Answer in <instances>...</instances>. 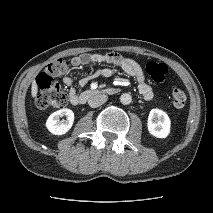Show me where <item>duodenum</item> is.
I'll return each mask as SVG.
<instances>
[{"label":"duodenum","mask_w":213,"mask_h":213,"mask_svg":"<svg viewBox=\"0 0 213 213\" xmlns=\"http://www.w3.org/2000/svg\"><path fill=\"white\" fill-rule=\"evenodd\" d=\"M119 91L118 88H108L105 90H86L84 92H82L79 97H78V103H84L86 102L88 99L101 95V94H115Z\"/></svg>","instance_id":"410a0bca"}]
</instances>
